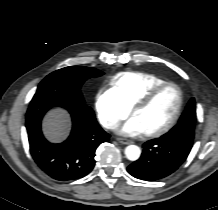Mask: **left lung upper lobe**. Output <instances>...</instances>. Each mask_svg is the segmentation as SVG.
Segmentation results:
<instances>
[{
  "mask_svg": "<svg viewBox=\"0 0 218 210\" xmlns=\"http://www.w3.org/2000/svg\"><path fill=\"white\" fill-rule=\"evenodd\" d=\"M196 123V104L194 98H192L189 103L187 104L185 111L183 112L181 118L179 119L178 124L173 127L168 133H166L164 136L166 137H176L178 135H181L183 132V129L189 131L192 136H194V127Z\"/></svg>",
  "mask_w": 218,
  "mask_h": 210,
  "instance_id": "left-lung-upper-lobe-1",
  "label": "left lung upper lobe"
}]
</instances>
